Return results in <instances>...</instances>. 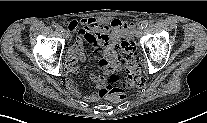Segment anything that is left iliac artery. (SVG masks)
I'll use <instances>...</instances> for the list:
<instances>
[{"label": "left iliac artery", "mask_w": 207, "mask_h": 123, "mask_svg": "<svg viewBox=\"0 0 207 123\" xmlns=\"http://www.w3.org/2000/svg\"><path fill=\"white\" fill-rule=\"evenodd\" d=\"M148 24H149V21H148V20H144V21L141 23V26H142L143 28H146V27L148 26Z\"/></svg>", "instance_id": "44dca946"}]
</instances>
